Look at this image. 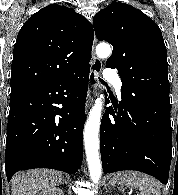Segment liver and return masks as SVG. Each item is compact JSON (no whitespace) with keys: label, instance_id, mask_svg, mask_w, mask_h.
<instances>
[{"label":"liver","instance_id":"1","mask_svg":"<svg viewBox=\"0 0 178 195\" xmlns=\"http://www.w3.org/2000/svg\"><path fill=\"white\" fill-rule=\"evenodd\" d=\"M62 173L55 170L35 169L18 172L12 178V195H36L38 191L62 183Z\"/></svg>","mask_w":178,"mask_h":195}]
</instances>
